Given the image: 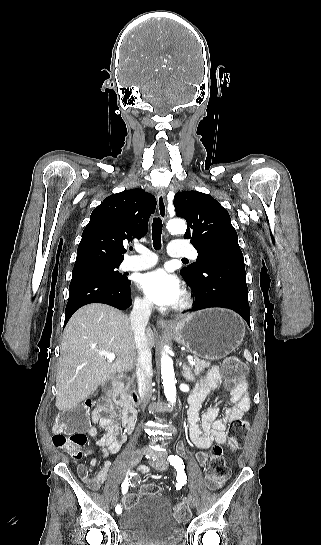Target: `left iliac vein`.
<instances>
[{"label":"left iliac vein","instance_id":"obj_1","mask_svg":"<svg viewBox=\"0 0 321 545\" xmlns=\"http://www.w3.org/2000/svg\"><path fill=\"white\" fill-rule=\"evenodd\" d=\"M149 464L160 471H166L168 469V465L165 463L162 457L150 459ZM188 501L192 508L196 506V498L192 493L188 494Z\"/></svg>","mask_w":321,"mask_h":545}]
</instances>
